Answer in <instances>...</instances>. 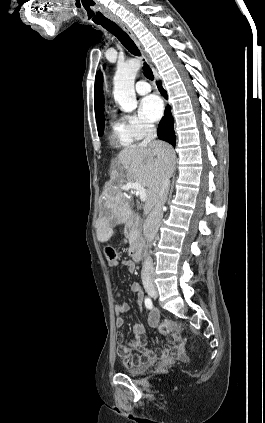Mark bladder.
<instances>
[{
    "label": "bladder",
    "mask_w": 265,
    "mask_h": 423,
    "mask_svg": "<svg viewBox=\"0 0 265 423\" xmlns=\"http://www.w3.org/2000/svg\"><path fill=\"white\" fill-rule=\"evenodd\" d=\"M153 361L145 362L139 366H130L125 369V373L128 375H139L147 371L152 365Z\"/></svg>",
    "instance_id": "obj_1"
}]
</instances>
